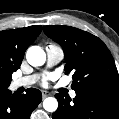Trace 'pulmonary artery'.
<instances>
[{"label": "pulmonary artery", "mask_w": 119, "mask_h": 119, "mask_svg": "<svg viewBox=\"0 0 119 119\" xmlns=\"http://www.w3.org/2000/svg\"><path fill=\"white\" fill-rule=\"evenodd\" d=\"M46 55H47V66L51 67L56 64H58L64 57L63 49L60 46H57L55 44H48L45 47ZM38 79V75H29L21 78H17L12 81L11 83V89L16 90L20 87H28L32 84H34ZM70 97L75 98L76 92L71 91Z\"/></svg>", "instance_id": "e3ab8cb5"}]
</instances>
